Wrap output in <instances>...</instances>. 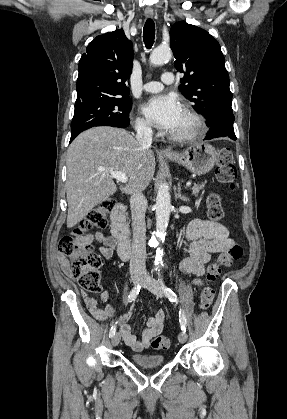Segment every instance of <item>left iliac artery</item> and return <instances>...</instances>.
<instances>
[{"label": "left iliac artery", "mask_w": 287, "mask_h": 419, "mask_svg": "<svg viewBox=\"0 0 287 419\" xmlns=\"http://www.w3.org/2000/svg\"><path fill=\"white\" fill-rule=\"evenodd\" d=\"M158 281L161 283L164 294L169 299V301L178 304L179 299H178L177 295L174 293V291L172 289L166 287L163 284V281H162V278H161L160 275L158 277ZM179 322H180V325H181V330L186 332V318H185L184 312L181 309L179 311Z\"/></svg>", "instance_id": "left-iliac-artery-1"}]
</instances>
